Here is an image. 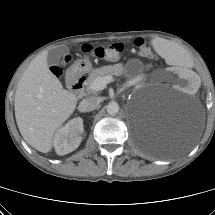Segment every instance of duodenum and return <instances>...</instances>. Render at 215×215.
Returning <instances> with one entry per match:
<instances>
[{
	"instance_id": "1",
	"label": "duodenum",
	"mask_w": 215,
	"mask_h": 215,
	"mask_svg": "<svg viewBox=\"0 0 215 215\" xmlns=\"http://www.w3.org/2000/svg\"><path fill=\"white\" fill-rule=\"evenodd\" d=\"M85 82L84 74L77 68H71L67 74V83L70 89L77 95L83 92Z\"/></svg>"
}]
</instances>
